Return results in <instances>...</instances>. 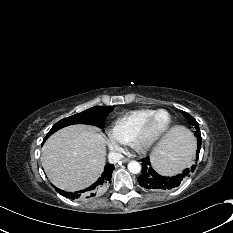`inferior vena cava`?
<instances>
[{"label":"inferior vena cava","instance_id":"602c4592","mask_svg":"<svg viewBox=\"0 0 233 233\" xmlns=\"http://www.w3.org/2000/svg\"><path fill=\"white\" fill-rule=\"evenodd\" d=\"M122 158H123V155L121 153H118V152H110L108 154V160L111 164H116Z\"/></svg>","mask_w":233,"mask_h":233}]
</instances>
